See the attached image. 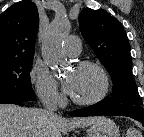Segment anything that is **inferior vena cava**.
<instances>
[{"mask_svg":"<svg viewBox=\"0 0 144 137\" xmlns=\"http://www.w3.org/2000/svg\"><path fill=\"white\" fill-rule=\"evenodd\" d=\"M46 109H47L48 113L57 115L56 114V111H57V106L56 105L46 104Z\"/></svg>","mask_w":144,"mask_h":137,"instance_id":"1","label":"inferior vena cava"}]
</instances>
